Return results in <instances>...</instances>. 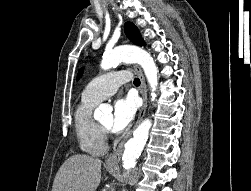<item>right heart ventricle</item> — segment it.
Segmentation results:
<instances>
[{
    "label": "right heart ventricle",
    "instance_id": "1",
    "mask_svg": "<svg viewBox=\"0 0 251 191\" xmlns=\"http://www.w3.org/2000/svg\"><path fill=\"white\" fill-rule=\"evenodd\" d=\"M70 91H74L72 88ZM98 100L82 96L74 112V128L81 152L91 156H103L107 151L105 132L92 116Z\"/></svg>",
    "mask_w": 251,
    "mask_h": 191
}]
</instances>
